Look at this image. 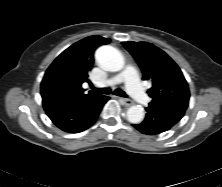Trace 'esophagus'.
<instances>
[{
	"label": "esophagus",
	"instance_id": "1",
	"mask_svg": "<svg viewBox=\"0 0 222 187\" xmlns=\"http://www.w3.org/2000/svg\"><path fill=\"white\" fill-rule=\"evenodd\" d=\"M120 102L126 106H131L133 104V102L129 99H125V98H119Z\"/></svg>",
	"mask_w": 222,
	"mask_h": 187
}]
</instances>
